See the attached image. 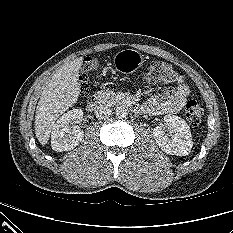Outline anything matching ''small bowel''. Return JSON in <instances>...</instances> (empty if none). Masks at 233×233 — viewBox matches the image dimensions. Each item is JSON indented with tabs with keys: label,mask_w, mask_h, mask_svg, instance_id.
<instances>
[{
	"label": "small bowel",
	"mask_w": 233,
	"mask_h": 233,
	"mask_svg": "<svg viewBox=\"0 0 233 233\" xmlns=\"http://www.w3.org/2000/svg\"><path fill=\"white\" fill-rule=\"evenodd\" d=\"M189 94V87L181 83L174 90L155 94L141 108L143 112L151 115L173 114L183 108Z\"/></svg>",
	"instance_id": "c3829d8e"
}]
</instances>
